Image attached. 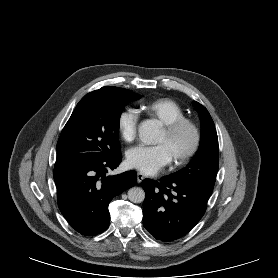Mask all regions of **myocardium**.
<instances>
[{"label": "myocardium", "instance_id": "1", "mask_svg": "<svg viewBox=\"0 0 278 278\" xmlns=\"http://www.w3.org/2000/svg\"><path fill=\"white\" fill-rule=\"evenodd\" d=\"M183 129H188L192 136V141L189 148L181 153L180 155L176 156L172 159V164L174 165H182L188 162L199 150L201 145V131L198 125L189 118H181L178 119L168 125L163 127V132L166 137L171 138L178 134Z\"/></svg>", "mask_w": 278, "mask_h": 278}]
</instances>
